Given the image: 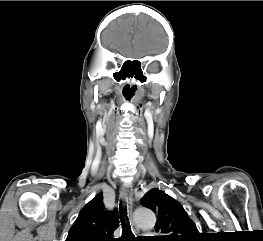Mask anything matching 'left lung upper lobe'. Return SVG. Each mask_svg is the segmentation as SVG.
Wrapping results in <instances>:
<instances>
[{
    "instance_id": "left-lung-upper-lobe-1",
    "label": "left lung upper lobe",
    "mask_w": 263,
    "mask_h": 241,
    "mask_svg": "<svg viewBox=\"0 0 263 241\" xmlns=\"http://www.w3.org/2000/svg\"><path fill=\"white\" fill-rule=\"evenodd\" d=\"M141 203L156 213L155 231L163 234L150 237L151 240L200 241L201 234L182 205L162 190L154 188L148 191Z\"/></svg>"
}]
</instances>
